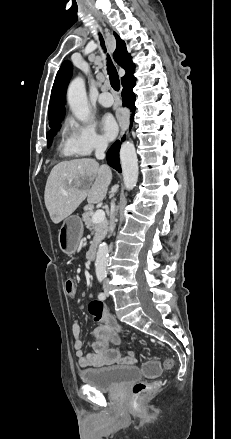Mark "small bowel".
<instances>
[{
  "mask_svg": "<svg viewBox=\"0 0 231 439\" xmlns=\"http://www.w3.org/2000/svg\"><path fill=\"white\" fill-rule=\"evenodd\" d=\"M95 329V340L92 343V350L88 353L83 351V342L81 339V328L77 320L72 321L71 333L73 346L78 364L82 368L103 367L114 364L133 365L136 358L132 351L122 355L119 349L121 339L119 336L120 326L116 320L107 313L106 317Z\"/></svg>",
  "mask_w": 231,
  "mask_h": 439,
  "instance_id": "obj_1",
  "label": "small bowel"
}]
</instances>
